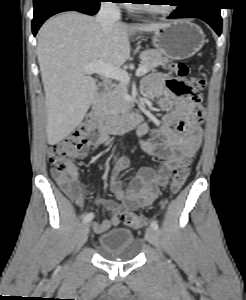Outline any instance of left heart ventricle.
<instances>
[{
	"label": "left heart ventricle",
	"mask_w": 246,
	"mask_h": 300,
	"mask_svg": "<svg viewBox=\"0 0 246 300\" xmlns=\"http://www.w3.org/2000/svg\"><path fill=\"white\" fill-rule=\"evenodd\" d=\"M160 3H169V1H159ZM149 6L155 10H166L169 8L170 5H163V4H159V5H153V4H149Z\"/></svg>",
	"instance_id": "obj_1"
}]
</instances>
